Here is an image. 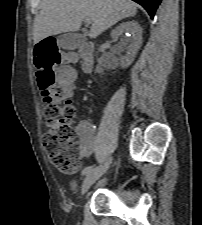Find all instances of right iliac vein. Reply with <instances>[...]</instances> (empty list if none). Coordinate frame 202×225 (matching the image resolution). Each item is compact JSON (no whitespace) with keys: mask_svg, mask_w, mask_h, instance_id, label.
<instances>
[{"mask_svg":"<svg viewBox=\"0 0 202 225\" xmlns=\"http://www.w3.org/2000/svg\"><path fill=\"white\" fill-rule=\"evenodd\" d=\"M112 158L106 160L105 163L91 170L83 180L82 194H84L92 184H94L110 167Z\"/></svg>","mask_w":202,"mask_h":225,"instance_id":"1","label":"right iliac vein"}]
</instances>
